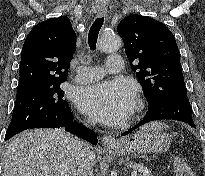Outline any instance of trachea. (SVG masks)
I'll list each match as a JSON object with an SVG mask.
<instances>
[{"label": "trachea", "mask_w": 205, "mask_h": 176, "mask_svg": "<svg viewBox=\"0 0 205 176\" xmlns=\"http://www.w3.org/2000/svg\"><path fill=\"white\" fill-rule=\"evenodd\" d=\"M103 21H104V19L102 17L97 18L93 22V24L90 28L89 35H88V43H89V46L91 49H94L96 47L98 35H99L100 29L103 25Z\"/></svg>", "instance_id": "obj_1"}]
</instances>
